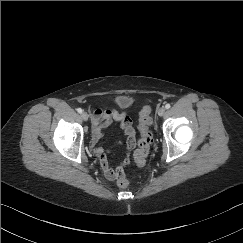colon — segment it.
I'll list each match as a JSON object with an SVG mask.
<instances>
[{"label":"colon","instance_id":"5ec220e1","mask_svg":"<svg viewBox=\"0 0 243 243\" xmlns=\"http://www.w3.org/2000/svg\"><path fill=\"white\" fill-rule=\"evenodd\" d=\"M150 125H151V107L149 105H146L141 109L139 115L138 129L141 137L138 142L139 148L135 153V160L138 166H142L144 164L150 146L153 143V135L150 131ZM129 184H130V179L125 175L119 178L117 181V185L120 188H127Z\"/></svg>","mask_w":243,"mask_h":243}]
</instances>
